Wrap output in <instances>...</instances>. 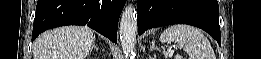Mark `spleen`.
Instances as JSON below:
<instances>
[{
  "label": "spleen",
  "instance_id": "3e777b00",
  "mask_svg": "<svg viewBox=\"0 0 261 59\" xmlns=\"http://www.w3.org/2000/svg\"><path fill=\"white\" fill-rule=\"evenodd\" d=\"M160 41L179 43L190 59H216L209 40L199 29L190 25L170 26L160 35Z\"/></svg>",
  "mask_w": 261,
  "mask_h": 59
}]
</instances>
